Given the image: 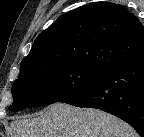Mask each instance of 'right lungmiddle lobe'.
<instances>
[{
	"label": "right lung middle lobe",
	"instance_id": "obj_1",
	"mask_svg": "<svg viewBox=\"0 0 144 137\" xmlns=\"http://www.w3.org/2000/svg\"><path fill=\"white\" fill-rule=\"evenodd\" d=\"M107 72L75 62H51L20 67L12 87L11 111L52 104L69 98Z\"/></svg>",
	"mask_w": 144,
	"mask_h": 137
}]
</instances>
